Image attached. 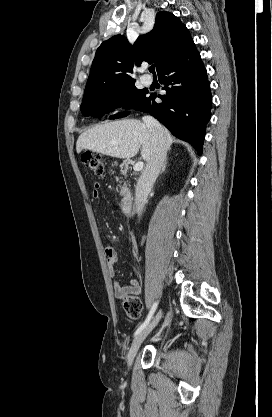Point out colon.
Instances as JSON below:
<instances>
[{"label": "colon", "instance_id": "colon-1", "mask_svg": "<svg viewBox=\"0 0 272 417\" xmlns=\"http://www.w3.org/2000/svg\"><path fill=\"white\" fill-rule=\"evenodd\" d=\"M82 163L96 175H101L105 169L104 158L95 152L86 151L81 155ZM123 307L131 319H138L142 312V303L136 296H127L123 300Z\"/></svg>", "mask_w": 272, "mask_h": 417}]
</instances>
